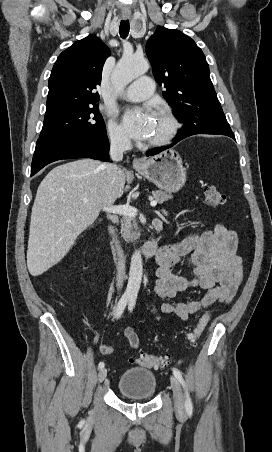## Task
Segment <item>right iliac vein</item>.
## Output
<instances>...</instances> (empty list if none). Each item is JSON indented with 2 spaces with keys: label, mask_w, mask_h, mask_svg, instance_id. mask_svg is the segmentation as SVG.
Masks as SVG:
<instances>
[{
  "label": "right iliac vein",
  "mask_w": 272,
  "mask_h": 452,
  "mask_svg": "<svg viewBox=\"0 0 272 452\" xmlns=\"http://www.w3.org/2000/svg\"><path fill=\"white\" fill-rule=\"evenodd\" d=\"M106 376H107V369L106 368L100 369V371L98 373V381L103 382L105 380Z\"/></svg>",
  "instance_id": "63e3f726"
}]
</instances>
